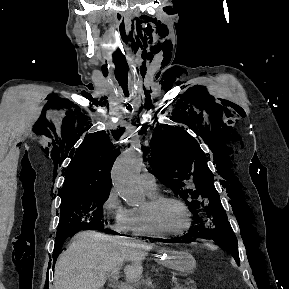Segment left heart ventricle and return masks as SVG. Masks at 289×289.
I'll use <instances>...</instances> for the list:
<instances>
[{"mask_svg":"<svg viewBox=\"0 0 289 289\" xmlns=\"http://www.w3.org/2000/svg\"><path fill=\"white\" fill-rule=\"evenodd\" d=\"M145 206L146 203L143 207ZM155 218L159 227L169 232H178L184 229L188 223L186 211L175 202H166L160 205L156 210Z\"/></svg>","mask_w":289,"mask_h":289,"instance_id":"b2bd125f","label":"left heart ventricle"}]
</instances>
